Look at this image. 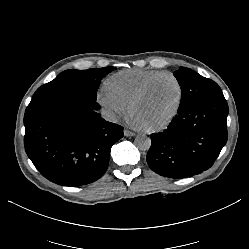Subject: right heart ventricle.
Segmentation results:
<instances>
[{"label": "right heart ventricle", "mask_w": 249, "mask_h": 249, "mask_svg": "<svg viewBox=\"0 0 249 249\" xmlns=\"http://www.w3.org/2000/svg\"><path fill=\"white\" fill-rule=\"evenodd\" d=\"M164 73L159 69L131 68L110 75L104 82V89L126 104L142 85L152 77Z\"/></svg>", "instance_id": "e07e8e85"}]
</instances>
